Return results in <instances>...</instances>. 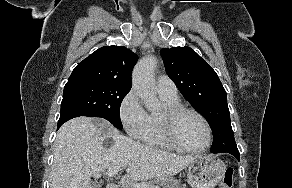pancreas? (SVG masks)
Returning a JSON list of instances; mask_svg holds the SVG:
<instances>
[{"instance_id":"1","label":"pancreas","mask_w":292,"mask_h":188,"mask_svg":"<svg viewBox=\"0 0 292 188\" xmlns=\"http://www.w3.org/2000/svg\"><path fill=\"white\" fill-rule=\"evenodd\" d=\"M151 187L158 186V188H185V184H181V181L173 177H160L154 181L144 183ZM132 188V187H129Z\"/></svg>"}]
</instances>
